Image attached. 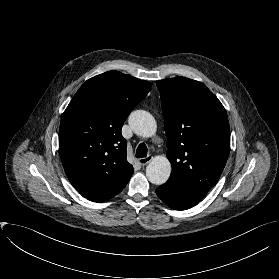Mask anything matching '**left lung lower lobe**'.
<instances>
[{"label":"left lung lower lobe","mask_w":279,"mask_h":279,"mask_svg":"<svg viewBox=\"0 0 279 279\" xmlns=\"http://www.w3.org/2000/svg\"><path fill=\"white\" fill-rule=\"evenodd\" d=\"M156 194L169 207L186 210L200 202L206 193L169 179L156 189Z\"/></svg>","instance_id":"obj_1"}]
</instances>
